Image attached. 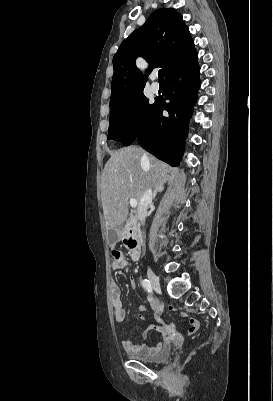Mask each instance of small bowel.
<instances>
[{
    "label": "small bowel",
    "mask_w": 273,
    "mask_h": 401,
    "mask_svg": "<svg viewBox=\"0 0 273 401\" xmlns=\"http://www.w3.org/2000/svg\"><path fill=\"white\" fill-rule=\"evenodd\" d=\"M112 269L114 271H122V270H127L129 267V259L127 255L117 249L112 250ZM130 285L135 288L136 287V281L133 277H130L129 279ZM122 292L121 288L118 285L117 282L112 281L111 286H110V298H111V304H112V309H113V315H114V320L117 323H122L126 320V311L123 307L122 303ZM150 307L154 313V318L156 323L151 324L147 327V329L143 332V337H146L150 331H156L160 333L163 337V341L157 343L153 347H148L144 344H135L131 340L128 339H123L121 342V345L123 349L133 355H142V356H148L151 354L156 353L159 351L162 346H167L169 344V338H179L180 337V332L176 331V328L173 327L174 324L172 323H166L162 317V311L164 308L163 303L160 300L157 301H152L150 303ZM147 306L146 305H141L138 309L137 312V318L139 320H144L145 315L144 312L146 311ZM169 312H175L176 308L175 307H169L168 308ZM180 316L182 318H185L187 316V313L185 311H182L180 313ZM188 327L183 329V332L186 333L188 338H193L196 336L197 328L200 327L201 320L199 318H192L188 320ZM173 325V326H172ZM169 334V336L167 335Z\"/></svg>",
    "instance_id": "c3829d8e"
}]
</instances>
